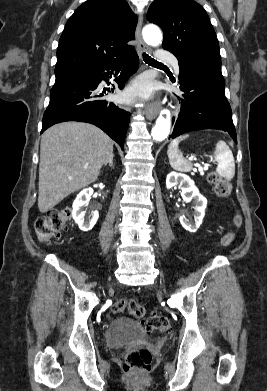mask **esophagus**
<instances>
[{"instance_id":"obj_1","label":"esophagus","mask_w":267,"mask_h":391,"mask_svg":"<svg viewBox=\"0 0 267 391\" xmlns=\"http://www.w3.org/2000/svg\"><path fill=\"white\" fill-rule=\"evenodd\" d=\"M142 23H143V16L140 14L138 18V23L136 27V40L139 46V49L141 52H147L149 51V47L144 43L142 36H141V28H142ZM159 112V102L155 103H150L146 106L144 113L146 114L147 118L152 120L154 119Z\"/></svg>"}]
</instances>
